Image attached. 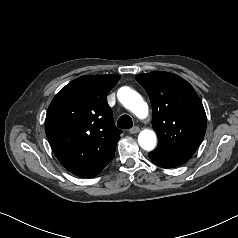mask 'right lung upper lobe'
<instances>
[{
    "mask_svg": "<svg viewBox=\"0 0 238 238\" xmlns=\"http://www.w3.org/2000/svg\"><path fill=\"white\" fill-rule=\"evenodd\" d=\"M120 75H84L63 87L46 115L45 132L59 162L91 178L113 159L120 133L107 94Z\"/></svg>",
    "mask_w": 238,
    "mask_h": 238,
    "instance_id": "obj_1",
    "label": "right lung upper lobe"
}]
</instances>
